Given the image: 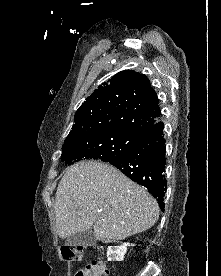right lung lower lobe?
<instances>
[{"instance_id": "98d812e1", "label": "right lung lower lobe", "mask_w": 221, "mask_h": 276, "mask_svg": "<svg viewBox=\"0 0 221 276\" xmlns=\"http://www.w3.org/2000/svg\"><path fill=\"white\" fill-rule=\"evenodd\" d=\"M163 128V122L155 123L133 150L109 161L131 180L146 187L157 199L162 211L167 185L164 174L166 146Z\"/></svg>"}]
</instances>
